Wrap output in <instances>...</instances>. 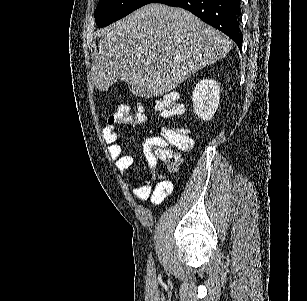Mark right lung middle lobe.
<instances>
[{"mask_svg": "<svg viewBox=\"0 0 307 301\" xmlns=\"http://www.w3.org/2000/svg\"><path fill=\"white\" fill-rule=\"evenodd\" d=\"M151 2L152 0H99L94 12L96 24L99 27L107 26Z\"/></svg>", "mask_w": 307, "mask_h": 301, "instance_id": "obj_1", "label": "right lung middle lobe"}]
</instances>
